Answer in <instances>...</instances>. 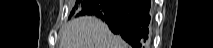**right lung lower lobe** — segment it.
Returning <instances> with one entry per match:
<instances>
[{
	"mask_svg": "<svg viewBox=\"0 0 213 48\" xmlns=\"http://www.w3.org/2000/svg\"><path fill=\"white\" fill-rule=\"evenodd\" d=\"M149 10L150 0H88L79 16L95 15L131 46L142 48L148 38Z\"/></svg>",
	"mask_w": 213,
	"mask_h": 48,
	"instance_id": "1",
	"label": "right lung lower lobe"
}]
</instances>
